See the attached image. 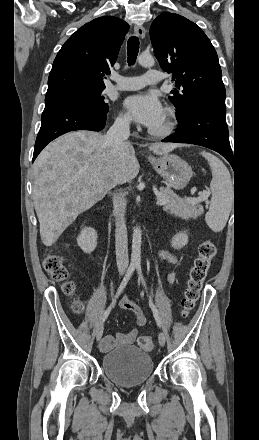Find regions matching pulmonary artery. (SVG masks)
I'll return each mask as SVG.
<instances>
[{
	"label": "pulmonary artery",
	"instance_id": "1",
	"mask_svg": "<svg viewBox=\"0 0 259 440\" xmlns=\"http://www.w3.org/2000/svg\"><path fill=\"white\" fill-rule=\"evenodd\" d=\"M115 84L111 87L120 91L138 90L145 85L157 84L162 81V75L157 70L149 69L143 76L125 77L113 75Z\"/></svg>",
	"mask_w": 259,
	"mask_h": 440
}]
</instances>
